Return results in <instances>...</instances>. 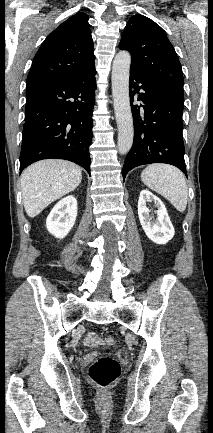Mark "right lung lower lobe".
Instances as JSON below:
<instances>
[{"mask_svg": "<svg viewBox=\"0 0 213 433\" xmlns=\"http://www.w3.org/2000/svg\"><path fill=\"white\" fill-rule=\"evenodd\" d=\"M95 75L92 67L61 82L27 83L20 173L33 162L59 158L90 174Z\"/></svg>", "mask_w": 213, "mask_h": 433, "instance_id": "1", "label": "right lung lower lobe"}]
</instances>
